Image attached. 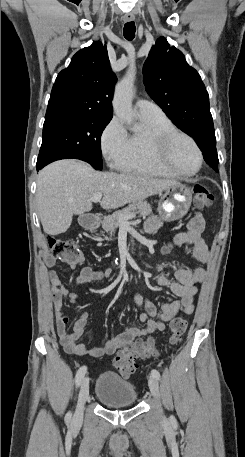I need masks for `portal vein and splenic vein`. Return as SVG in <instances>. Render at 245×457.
Returning <instances> with one entry per match:
<instances>
[{"mask_svg":"<svg viewBox=\"0 0 245 457\" xmlns=\"http://www.w3.org/2000/svg\"><path fill=\"white\" fill-rule=\"evenodd\" d=\"M102 198V192H95L94 196H91V198H89V200H93V202H99V200H101ZM134 216H136V214H131V216H122L121 214V222H127L128 218H134Z\"/></svg>","mask_w":245,"mask_h":457,"instance_id":"18ae733b","label":"portal vein and splenic vein"}]
</instances>
